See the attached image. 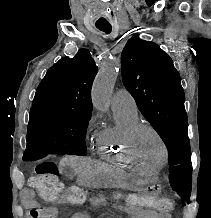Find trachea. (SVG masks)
<instances>
[{
  "mask_svg": "<svg viewBox=\"0 0 211 218\" xmlns=\"http://www.w3.org/2000/svg\"><path fill=\"white\" fill-rule=\"evenodd\" d=\"M98 30H101L105 33H111L112 27L111 26H97Z\"/></svg>",
  "mask_w": 211,
  "mask_h": 218,
  "instance_id": "trachea-1",
  "label": "trachea"
}]
</instances>
